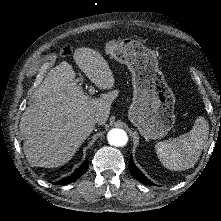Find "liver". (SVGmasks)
Returning <instances> with one entry per match:
<instances>
[{
    "instance_id": "liver-1",
    "label": "liver",
    "mask_w": 221,
    "mask_h": 221,
    "mask_svg": "<svg viewBox=\"0 0 221 221\" xmlns=\"http://www.w3.org/2000/svg\"><path fill=\"white\" fill-rule=\"evenodd\" d=\"M74 59L82 72L100 89H112L115 79L109 64L93 49L79 48ZM71 65L63 61L51 69L34 91L19 129L23 151L31 166L54 168L67 163L94 130L90 114H99L98 125L109 117L118 91L99 98L85 95Z\"/></svg>"
}]
</instances>
